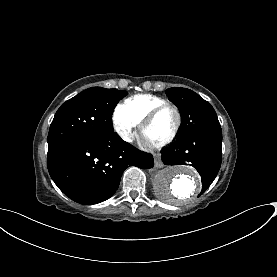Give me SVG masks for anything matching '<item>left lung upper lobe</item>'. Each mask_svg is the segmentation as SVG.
<instances>
[{"instance_id":"5c2ea615","label":"left lung upper lobe","mask_w":277,"mask_h":277,"mask_svg":"<svg viewBox=\"0 0 277 277\" xmlns=\"http://www.w3.org/2000/svg\"><path fill=\"white\" fill-rule=\"evenodd\" d=\"M166 95L181 114L182 128L179 137L203 130L221 129L213 107L192 90L173 87L166 90Z\"/></svg>"}]
</instances>
